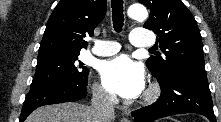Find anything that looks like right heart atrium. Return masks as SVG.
<instances>
[{
  "mask_svg": "<svg viewBox=\"0 0 221 122\" xmlns=\"http://www.w3.org/2000/svg\"><path fill=\"white\" fill-rule=\"evenodd\" d=\"M92 90L96 99L104 103H115V97L111 93H109L100 83H94Z\"/></svg>",
  "mask_w": 221,
  "mask_h": 122,
  "instance_id": "obj_1",
  "label": "right heart atrium"
}]
</instances>
